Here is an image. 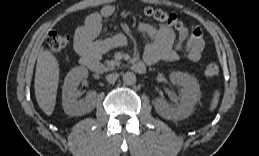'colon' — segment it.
I'll return each instance as SVG.
<instances>
[{
  "mask_svg": "<svg viewBox=\"0 0 259 156\" xmlns=\"http://www.w3.org/2000/svg\"><path fill=\"white\" fill-rule=\"evenodd\" d=\"M143 14L154 19L155 21L164 23L175 30L179 31L183 28L182 23L178 20L175 14L166 12L162 9L145 7L143 9ZM47 45L51 53H59L66 49L69 45V37L56 32H51L47 38ZM204 72L208 78H213L218 75L219 67L216 63L211 62L206 65Z\"/></svg>",
  "mask_w": 259,
  "mask_h": 156,
  "instance_id": "colon-1",
  "label": "colon"
}]
</instances>
